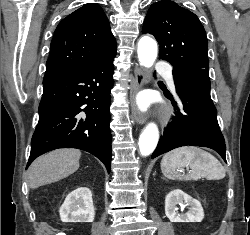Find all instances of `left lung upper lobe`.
Instances as JSON below:
<instances>
[{"label": "left lung upper lobe", "instance_id": "left-lung-upper-lobe-1", "mask_svg": "<svg viewBox=\"0 0 250 235\" xmlns=\"http://www.w3.org/2000/svg\"><path fill=\"white\" fill-rule=\"evenodd\" d=\"M142 33L152 34L160 45L159 57L173 66V74L193 69L208 71L207 37L198 17L173 1L153 3Z\"/></svg>", "mask_w": 250, "mask_h": 235}]
</instances>
